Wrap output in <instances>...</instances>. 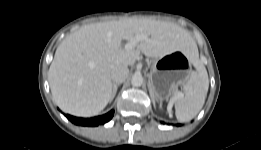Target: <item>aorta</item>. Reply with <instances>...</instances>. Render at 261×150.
Returning <instances> with one entry per match:
<instances>
[{"instance_id":"762f6f07","label":"aorta","mask_w":261,"mask_h":150,"mask_svg":"<svg viewBox=\"0 0 261 150\" xmlns=\"http://www.w3.org/2000/svg\"><path fill=\"white\" fill-rule=\"evenodd\" d=\"M131 84L134 87H139L143 84V77L141 75H134L131 79Z\"/></svg>"}]
</instances>
